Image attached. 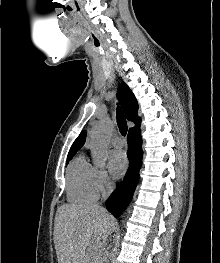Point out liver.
I'll list each match as a JSON object with an SVG mask.
<instances>
[{
  "label": "liver",
  "mask_w": 220,
  "mask_h": 263,
  "mask_svg": "<svg viewBox=\"0 0 220 263\" xmlns=\"http://www.w3.org/2000/svg\"><path fill=\"white\" fill-rule=\"evenodd\" d=\"M114 217L96 204H66L57 209L54 243L58 263H93L115 229Z\"/></svg>",
  "instance_id": "6515ba94"
}]
</instances>
